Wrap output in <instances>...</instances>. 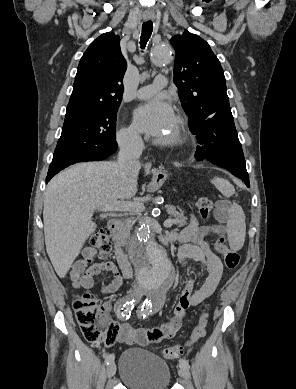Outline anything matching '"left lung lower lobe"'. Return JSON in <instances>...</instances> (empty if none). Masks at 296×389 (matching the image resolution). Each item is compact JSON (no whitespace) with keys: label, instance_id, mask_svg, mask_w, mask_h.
I'll list each match as a JSON object with an SVG mask.
<instances>
[{"label":"left lung lower lobe","instance_id":"1","mask_svg":"<svg viewBox=\"0 0 296 389\" xmlns=\"http://www.w3.org/2000/svg\"><path fill=\"white\" fill-rule=\"evenodd\" d=\"M196 148L197 161L207 160L227 169L250 187L241 144L234 125L231 109L215 113L201 124Z\"/></svg>","mask_w":296,"mask_h":389}]
</instances>
